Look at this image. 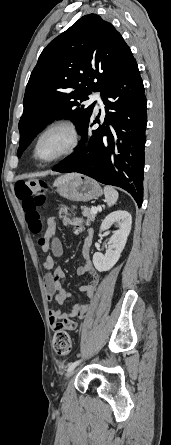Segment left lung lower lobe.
<instances>
[{
	"label": "left lung lower lobe",
	"instance_id": "1",
	"mask_svg": "<svg viewBox=\"0 0 171 445\" xmlns=\"http://www.w3.org/2000/svg\"><path fill=\"white\" fill-rule=\"evenodd\" d=\"M101 98L106 111L104 122L93 129L98 116L91 121V113L80 132L82 144L52 170L78 172L101 183L121 187L140 207L147 116L137 63L108 80L101 90Z\"/></svg>",
	"mask_w": 171,
	"mask_h": 445
}]
</instances>
